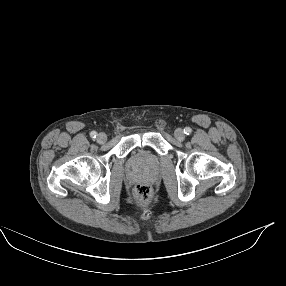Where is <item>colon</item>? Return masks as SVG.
I'll return each instance as SVG.
<instances>
[{
  "mask_svg": "<svg viewBox=\"0 0 286 286\" xmlns=\"http://www.w3.org/2000/svg\"><path fill=\"white\" fill-rule=\"evenodd\" d=\"M134 193L139 203H147L151 198V189L149 185L144 183L137 184Z\"/></svg>",
  "mask_w": 286,
  "mask_h": 286,
  "instance_id": "1",
  "label": "colon"
}]
</instances>
